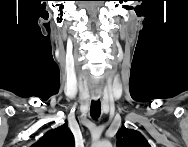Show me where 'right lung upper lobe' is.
I'll use <instances>...</instances> for the list:
<instances>
[{"mask_svg":"<svg viewBox=\"0 0 188 147\" xmlns=\"http://www.w3.org/2000/svg\"><path fill=\"white\" fill-rule=\"evenodd\" d=\"M35 147H74L73 134L66 124L48 131L42 136Z\"/></svg>","mask_w":188,"mask_h":147,"instance_id":"1","label":"right lung upper lobe"}]
</instances>
